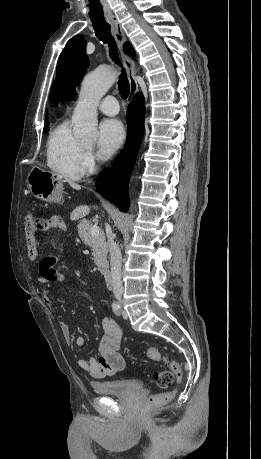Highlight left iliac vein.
<instances>
[{"mask_svg": "<svg viewBox=\"0 0 261 459\" xmlns=\"http://www.w3.org/2000/svg\"><path fill=\"white\" fill-rule=\"evenodd\" d=\"M122 316L124 319H128V313L125 309L122 310Z\"/></svg>", "mask_w": 261, "mask_h": 459, "instance_id": "4c4485c4", "label": "left iliac vein"}]
</instances>
